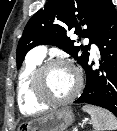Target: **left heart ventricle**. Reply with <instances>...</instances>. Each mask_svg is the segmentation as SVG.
Segmentation results:
<instances>
[{
    "mask_svg": "<svg viewBox=\"0 0 117 131\" xmlns=\"http://www.w3.org/2000/svg\"><path fill=\"white\" fill-rule=\"evenodd\" d=\"M76 84L75 73L65 66L50 69L45 77L46 92L50 97L55 99L69 96L74 91Z\"/></svg>",
    "mask_w": 117,
    "mask_h": 131,
    "instance_id": "b2bd125f",
    "label": "left heart ventricle"
}]
</instances>
